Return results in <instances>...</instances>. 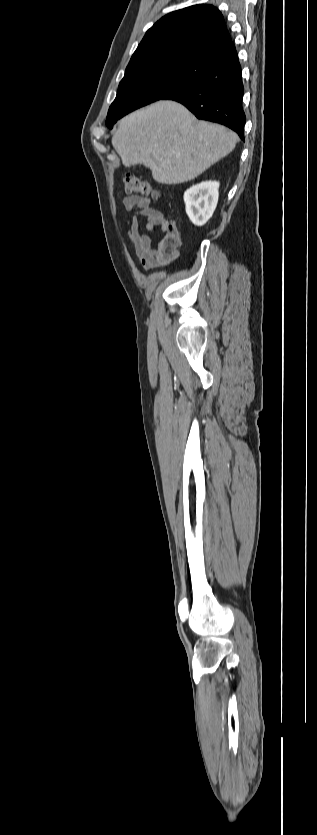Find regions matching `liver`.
<instances>
[{
	"label": "liver",
	"mask_w": 317,
	"mask_h": 835,
	"mask_svg": "<svg viewBox=\"0 0 317 835\" xmlns=\"http://www.w3.org/2000/svg\"><path fill=\"white\" fill-rule=\"evenodd\" d=\"M236 133L197 121L183 105L158 101L121 121L112 145L124 166L143 164L163 184L192 180L229 154Z\"/></svg>",
	"instance_id": "1"
}]
</instances>
